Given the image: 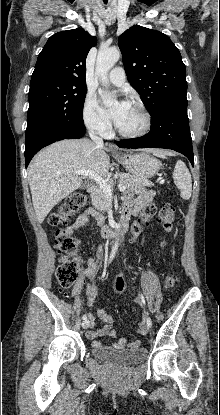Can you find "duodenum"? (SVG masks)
<instances>
[{"label": "duodenum", "instance_id": "duodenum-1", "mask_svg": "<svg viewBox=\"0 0 220 415\" xmlns=\"http://www.w3.org/2000/svg\"><path fill=\"white\" fill-rule=\"evenodd\" d=\"M87 191L89 193H94L96 191V185L90 184L87 187ZM130 214L129 213H121L119 224L109 227L107 225L102 224V235L104 238H115V237H123L127 232L128 224H129Z\"/></svg>", "mask_w": 220, "mask_h": 415}]
</instances>
